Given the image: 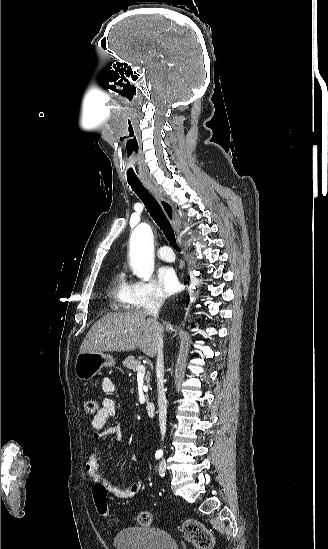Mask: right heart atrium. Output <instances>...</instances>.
Segmentation results:
<instances>
[{
    "mask_svg": "<svg viewBox=\"0 0 328 549\" xmlns=\"http://www.w3.org/2000/svg\"><path fill=\"white\" fill-rule=\"evenodd\" d=\"M135 291L142 303H163L164 296L153 279L134 283Z\"/></svg>",
    "mask_w": 328,
    "mask_h": 549,
    "instance_id": "right-heart-atrium-1",
    "label": "right heart atrium"
}]
</instances>
